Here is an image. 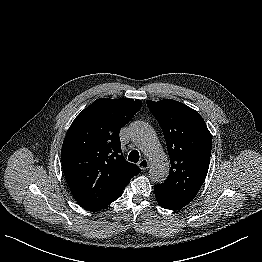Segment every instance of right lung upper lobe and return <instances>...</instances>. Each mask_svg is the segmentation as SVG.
<instances>
[{
	"mask_svg": "<svg viewBox=\"0 0 262 262\" xmlns=\"http://www.w3.org/2000/svg\"><path fill=\"white\" fill-rule=\"evenodd\" d=\"M141 106L137 99H97L67 131L61 150L63 172L74 199L84 209L105 208L141 171L124 159L119 138L120 129Z\"/></svg>",
	"mask_w": 262,
	"mask_h": 262,
	"instance_id": "obj_1",
	"label": "right lung upper lobe"
}]
</instances>
